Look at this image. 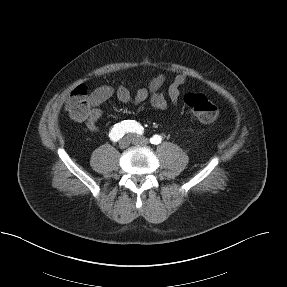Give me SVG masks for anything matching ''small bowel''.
Listing matches in <instances>:
<instances>
[{
	"mask_svg": "<svg viewBox=\"0 0 287 287\" xmlns=\"http://www.w3.org/2000/svg\"><path fill=\"white\" fill-rule=\"evenodd\" d=\"M165 79L164 74H158L147 87L138 89L134 94L122 85L116 89L107 85L96 88L89 96L90 111L88 117L83 121L84 124L89 131L98 132V122L102 117L101 106L113 95L125 103H141L148 100L151 106L158 111H165L168 108L167 98L173 105H177L180 88L187 81V75L183 73L176 75L167 90L163 91L162 86Z\"/></svg>",
	"mask_w": 287,
	"mask_h": 287,
	"instance_id": "obj_1",
	"label": "small bowel"
}]
</instances>
